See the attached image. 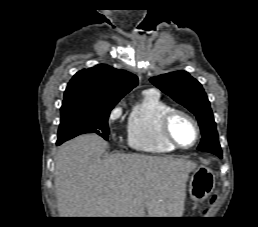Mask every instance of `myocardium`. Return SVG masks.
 <instances>
[{"label":"myocardium","instance_id":"obj_1","mask_svg":"<svg viewBox=\"0 0 258 227\" xmlns=\"http://www.w3.org/2000/svg\"><path fill=\"white\" fill-rule=\"evenodd\" d=\"M176 116H183L186 119H188L192 125L194 126L195 129V140L192 144L188 145V146H184L182 144H180L173 136L172 131H171V123L172 120L176 117ZM160 131H161V135L162 137L168 142L170 143L172 146H174L175 148H179V149H189L192 148L193 146H195L197 144V142L199 141L200 138V127L198 122L196 121V119L190 115L189 113L180 110V109H174L171 108L170 110H168L160 119Z\"/></svg>","mask_w":258,"mask_h":227}]
</instances>
